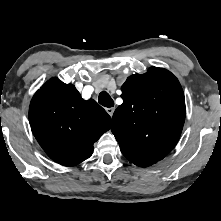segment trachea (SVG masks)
I'll list each match as a JSON object with an SVG mask.
<instances>
[{
    "instance_id": "obj_1",
    "label": "trachea",
    "mask_w": 221,
    "mask_h": 221,
    "mask_svg": "<svg viewBox=\"0 0 221 221\" xmlns=\"http://www.w3.org/2000/svg\"><path fill=\"white\" fill-rule=\"evenodd\" d=\"M98 101L104 107L114 106V101L112 100V98L109 96V94L106 91H103L99 94Z\"/></svg>"
}]
</instances>
